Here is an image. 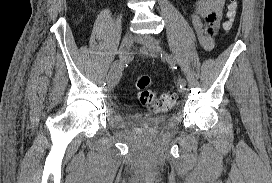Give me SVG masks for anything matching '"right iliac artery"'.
Segmentation results:
<instances>
[{"label":"right iliac artery","instance_id":"1","mask_svg":"<svg viewBox=\"0 0 272 183\" xmlns=\"http://www.w3.org/2000/svg\"><path fill=\"white\" fill-rule=\"evenodd\" d=\"M119 63H120V61L119 60H116L113 64H112V66H111V68H109V73H110V77L111 78H117L118 76H119V71H118V67H119ZM117 69V70H116Z\"/></svg>","mask_w":272,"mask_h":183}]
</instances>
